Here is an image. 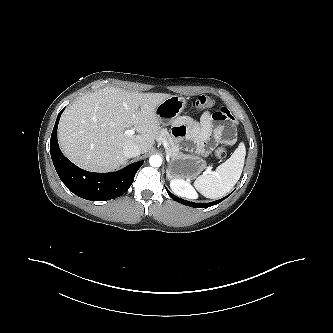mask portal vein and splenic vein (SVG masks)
<instances>
[{
  "label": "portal vein and splenic vein",
  "mask_w": 333,
  "mask_h": 333,
  "mask_svg": "<svg viewBox=\"0 0 333 333\" xmlns=\"http://www.w3.org/2000/svg\"><path fill=\"white\" fill-rule=\"evenodd\" d=\"M125 134L126 135H134L135 134V130L134 129L125 130ZM206 172L209 173L210 170H206Z\"/></svg>",
  "instance_id": "obj_1"
}]
</instances>
